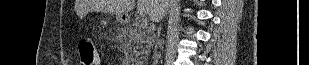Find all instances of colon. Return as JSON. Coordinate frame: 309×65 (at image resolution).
<instances>
[{"instance_id": "colon-1", "label": "colon", "mask_w": 309, "mask_h": 65, "mask_svg": "<svg viewBox=\"0 0 309 65\" xmlns=\"http://www.w3.org/2000/svg\"><path fill=\"white\" fill-rule=\"evenodd\" d=\"M80 52V64L81 65H97L99 62V56L96 52L93 40L88 36L80 38L78 43Z\"/></svg>"}]
</instances>
